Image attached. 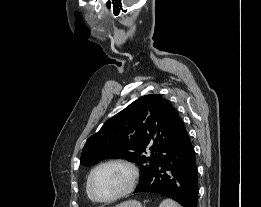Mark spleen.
<instances>
[{
    "label": "spleen",
    "mask_w": 261,
    "mask_h": 207,
    "mask_svg": "<svg viewBox=\"0 0 261 207\" xmlns=\"http://www.w3.org/2000/svg\"><path fill=\"white\" fill-rule=\"evenodd\" d=\"M159 207H181V206L171 199H165L160 203Z\"/></svg>",
    "instance_id": "1"
}]
</instances>
